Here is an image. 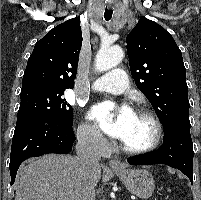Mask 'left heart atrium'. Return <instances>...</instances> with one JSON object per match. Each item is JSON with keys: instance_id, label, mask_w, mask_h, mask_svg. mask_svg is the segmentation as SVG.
<instances>
[{"instance_id": "39dd6f15", "label": "left heart atrium", "mask_w": 201, "mask_h": 200, "mask_svg": "<svg viewBox=\"0 0 201 200\" xmlns=\"http://www.w3.org/2000/svg\"><path fill=\"white\" fill-rule=\"evenodd\" d=\"M133 115L134 113L129 107L123 106L118 111H115L111 103L96 105L91 111V117L99 124L104 132L121 140L126 134Z\"/></svg>"}]
</instances>
